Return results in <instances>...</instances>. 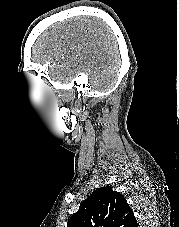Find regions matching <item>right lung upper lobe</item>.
<instances>
[{
  "label": "right lung upper lobe",
  "instance_id": "right-lung-upper-lobe-1",
  "mask_svg": "<svg viewBox=\"0 0 179 227\" xmlns=\"http://www.w3.org/2000/svg\"><path fill=\"white\" fill-rule=\"evenodd\" d=\"M137 221L119 192L106 186L96 189L67 222V227H135Z\"/></svg>",
  "mask_w": 179,
  "mask_h": 227
}]
</instances>
